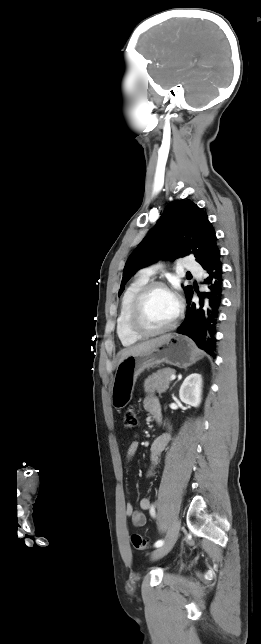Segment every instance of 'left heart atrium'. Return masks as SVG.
Segmentation results:
<instances>
[{
	"label": "left heart atrium",
	"mask_w": 261,
	"mask_h": 644,
	"mask_svg": "<svg viewBox=\"0 0 261 644\" xmlns=\"http://www.w3.org/2000/svg\"><path fill=\"white\" fill-rule=\"evenodd\" d=\"M172 295H173V297H174V299H175V301H176L177 305H179L180 301H179L178 296H177L176 294H173V293H172Z\"/></svg>",
	"instance_id": "obj_1"
}]
</instances>
